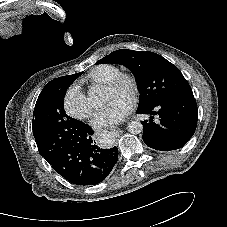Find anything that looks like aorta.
I'll return each mask as SVG.
<instances>
[{
	"label": "aorta",
	"instance_id": "obj_1",
	"mask_svg": "<svg viewBox=\"0 0 227 227\" xmlns=\"http://www.w3.org/2000/svg\"><path fill=\"white\" fill-rule=\"evenodd\" d=\"M88 96V101L90 103L94 105L102 103L103 97L97 88L92 87L88 92ZM127 129L129 133L137 135L143 131V125L140 121L135 120L128 123Z\"/></svg>",
	"mask_w": 227,
	"mask_h": 227
}]
</instances>
